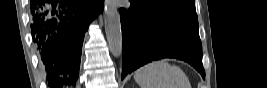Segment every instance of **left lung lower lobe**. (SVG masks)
Segmentation results:
<instances>
[{"label": "left lung lower lobe", "instance_id": "left-lung-lower-lobe-1", "mask_svg": "<svg viewBox=\"0 0 267 88\" xmlns=\"http://www.w3.org/2000/svg\"><path fill=\"white\" fill-rule=\"evenodd\" d=\"M120 9L122 27V79L140 66L161 58H176L191 64L205 78L199 26L176 20L144 17L133 6Z\"/></svg>", "mask_w": 267, "mask_h": 88}]
</instances>
